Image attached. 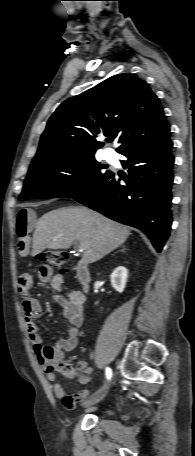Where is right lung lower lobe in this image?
Listing matches in <instances>:
<instances>
[{"mask_svg":"<svg viewBox=\"0 0 195 456\" xmlns=\"http://www.w3.org/2000/svg\"><path fill=\"white\" fill-rule=\"evenodd\" d=\"M173 143L170 137L155 144L127 148L122 161L126 185L110 174L96 187L74 199L108 218L143 231L161 252L172 223ZM120 180V179H119Z\"/></svg>","mask_w":195,"mask_h":456,"instance_id":"obj_1","label":"right lung lower lobe"}]
</instances>
